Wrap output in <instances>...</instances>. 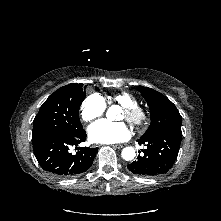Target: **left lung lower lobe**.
<instances>
[{"label": "left lung lower lobe", "instance_id": "obj_1", "mask_svg": "<svg viewBox=\"0 0 221 221\" xmlns=\"http://www.w3.org/2000/svg\"><path fill=\"white\" fill-rule=\"evenodd\" d=\"M182 132L177 130H160L138 139L145 144L144 155L138 156L127 167L137 175L155 176L169 171L173 166L180 147Z\"/></svg>", "mask_w": 221, "mask_h": 221}]
</instances>
